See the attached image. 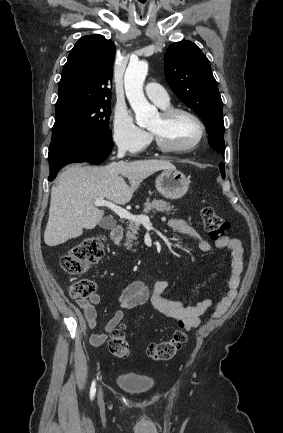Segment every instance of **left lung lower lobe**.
Masks as SVG:
<instances>
[{
	"instance_id": "1",
	"label": "left lung lower lobe",
	"mask_w": 283,
	"mask_h": 433,
	"mask_svg": "<svg viewBox=\"0 0 283 433\" xmlns=\"http://www.w3.org/2000/svg\"><path fill=\"white\" fill-rule=\"evenodd\" d=\"M217 150V149H216ZM219 168L221 170L222 177L225 178V167L223 163L219 164Z\"/></svg>"
}]
</instances>
